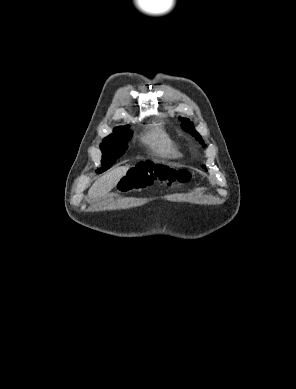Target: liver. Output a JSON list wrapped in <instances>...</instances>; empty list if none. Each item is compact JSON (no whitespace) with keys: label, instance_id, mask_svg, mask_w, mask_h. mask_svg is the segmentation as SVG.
Wrapping results in <instances>:
<instances>
[{"label":"liver","instance_id":"6515ba94","mask_svg":"<svg viewBox=\"0 0 296 389\" xmlns=\"http://www.w3.org/2000/svg\"><path fill=\"white\" fill-rule=\"evenodd\" d=\"M128 169V166L117 167L97 179L88 191V201H94L95 199L104 197L126 175Z\"/></svg>","mask_w":296,"mask_h":389}]
</instances>
